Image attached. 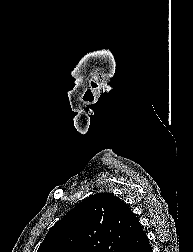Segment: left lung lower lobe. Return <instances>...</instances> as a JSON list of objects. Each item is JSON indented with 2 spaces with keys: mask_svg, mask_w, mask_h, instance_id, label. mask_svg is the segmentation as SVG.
<instances>
[{
  "mask_svg": "<svg viewBox=\"0 0 193 252\" xmlns=\"http://www.w3.org/2000/svg\"><path fill=\"white\" fill-rule=\"evenodd\" d=\"M123 252H153L140 223L134 230Z\"/></svg>",
  "mask_w": 193,
  "mask_h": 252,
  "instance_id": "0a47b994",
  "label": "left lung lower lobe"
}]
</instances>
